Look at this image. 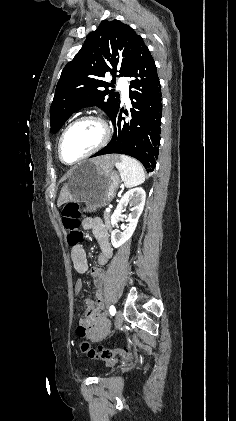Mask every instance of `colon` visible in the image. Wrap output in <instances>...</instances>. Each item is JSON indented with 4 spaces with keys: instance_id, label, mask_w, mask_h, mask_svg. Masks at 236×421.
Returning <instances> with one entry per match:
<instances>
[{
    "instance_id": "5ec220e1",
    "label": "colon",
    "mask_w": 236,
    "mask_h": 421,
    "mask_svg": "<svg viewBox=\"0 0 236 421\" xmlns=\"http://www.w3.org/2000/svg\"><path fill=\"white\" fill-rule=\"evenodd\" d=\"M80 208L79 205L73 202L67 203L63 206L61 212L62 223L69 231L68 234V243L70 246L76 247V250L79 248V244L82 241L83 233L79 231L80 225ZM78 263V262H77ZM79 264V263H78ZM79 333L83 331V327H79ZM80 350L88 356L90 359L94 360H104L108 361L113 359L115 356H120L124 359L133 358L136 353L124 348L119 349H102L94 348L88 342L83 341L80 343Z\"/></svg>"
}]
</instances>
